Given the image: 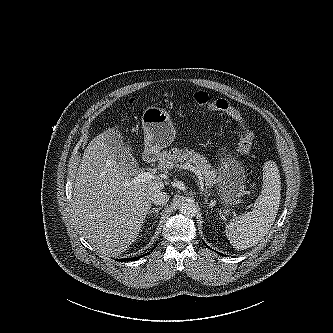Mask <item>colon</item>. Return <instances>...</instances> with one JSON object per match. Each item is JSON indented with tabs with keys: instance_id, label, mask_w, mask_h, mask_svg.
I'll return each instance as SVG.
<instances>
[{
	"instance_id": "1",
	"label": "colon",
	"mask_w": 333,
	"mask_h": 333,
	"mask_svg": "<svg viewBox=\"0 0 333 333\" xmlns=\"http://www.w3.org/2000/svg\"><path fill=\"white\" fill-rule=\"evenodd\" d=\"M195 102L201 107L208 108L213 111L225 113L230 118L235 120L239 127V153L242 156H247L251 152L254 135L247 127L243 117L226 99L211 98L205 91H199L195 94Z\"/></svg>"
}]
</instances>
